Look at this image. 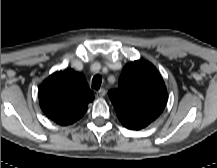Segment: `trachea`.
<instances>
[{
    "label": "trachea",
    "mask_w": 217,
    "mask_h": 168,
    "mask_svg": "<svg viewBox=\"0 0 217 168\" xmlns=\"http://www.w3.org/2000/svg\"><path fill=\"white\" fill-rule=\"evenodd\" d=\"M102 78L100 75H95L92 79V88L98 90L101 85Z\"/></svg>",
    "instance_id": "trachea-1"
}]
</instances>
